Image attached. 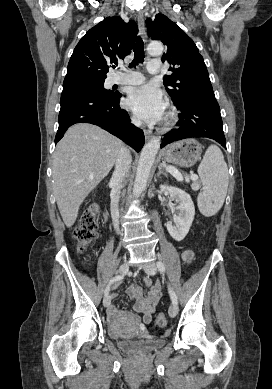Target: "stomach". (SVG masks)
Here are the masks:
<instances>
[{"mask_svg": "<svg viewBox=\"0 0 272 389\" xmlns=\"http://www.w3.org/2000/svg\"><path fill=\"white\" fill-rule=\"evenodd\" d=\"M202 145L193 138L172 143L162 150L165 161L182 167H191L200 159Z\"/></svg>", "mask_w": 272, "mask_h": 389, "instance_id": "obj_1", "label": "stomach"}]
</instances>
